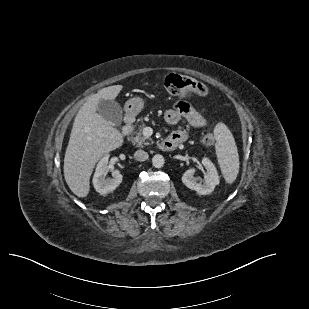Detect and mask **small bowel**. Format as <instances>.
I'll list each match as a JSON object with an SVG mask.
<instances>
[{
	"instance_id": "obj_1",
	"label": "small bowel",
	"mask_w": 309,
	"mask_h": 309,
	"mask_svg": "<svg viewBox=\"0 0 309 309\" xmlns=\"http://www.w3.org/2000/svg\"><path fill=\"white\" fill-rule=\"evenodd\" d=\"M181 117L185 118L194 128H201L206 124L202 111L189 106L185 102H179L164 113V118L169 124H176ZM179 139L180 143L184 142L188 135L185 130H177L170 136Z\"/></svg>"
}]
</instances>
